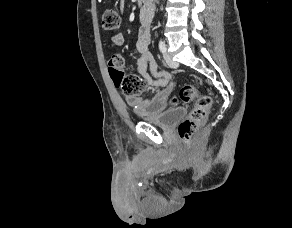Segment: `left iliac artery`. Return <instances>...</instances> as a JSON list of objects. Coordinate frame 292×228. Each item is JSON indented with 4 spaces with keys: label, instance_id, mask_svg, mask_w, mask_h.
<instances>
[{
    "label": "left iliac artery",
    "instance_id": "left-iliac-artery-1",
    "mask_svg": "<svg viewBox=\"0 0 292 228\" xmlns=\"http://www.w3.org/2000/svg\"><path fill=\"white\" fill-rule=\"evenodd\" d=\"M159 49L162 53L166 52V45H165V42L162 40L159 41Z\"/></svg>",
    "mask_w": 292,
    "mask_h": 228
}]
</instances>
